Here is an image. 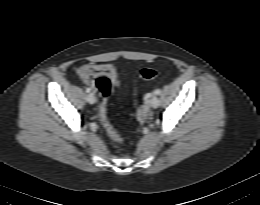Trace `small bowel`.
Segmentation results:
<instances>
[{
	"mask_svg": "<svg viewBox=\"0 0 260 205\" xmlns=\"http://www.w3.org/2000/svg\"><path fill=\"white\" fill-rule=\"evenodd\" d=\"M78 78L92 91H96L95 79L100 75L110 77L114 86L119 85L118 72L112 64H83L76 70Z\"/></svg>",
	"mask_w": 260,
	"mask_h": 205,
	"instance_id": "c3829d8e",
	"label": "small bowel"
}]
</instances>
